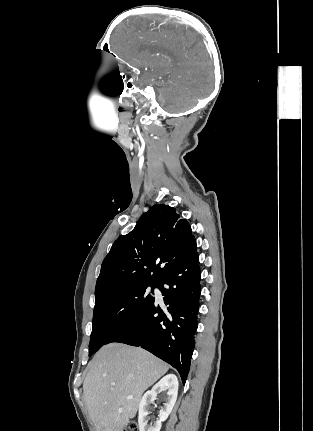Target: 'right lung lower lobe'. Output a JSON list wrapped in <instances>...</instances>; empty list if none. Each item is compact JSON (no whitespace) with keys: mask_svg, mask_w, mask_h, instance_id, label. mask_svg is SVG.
I'll use <instances>...</instances> for the list:
<instances>
[{"mask_svg":"<svg viewBox=\"0 0 313 431\" xmlns=\"http://www.w3.org/2000/svg\"><path fill=\"white\" fill-rule=\"evenodd\" d=\"M196 248L194 238L181 260L157 284L164 303L159 304L152 297L133 320L107 342L148 350L176 368L183 384L189 372L198 324L201 272Z\"/></svg>","mask_w":313,"mask_h":431,"instance_id":"98d812e1","label":"right lung lower lobe"}]
</instances>
